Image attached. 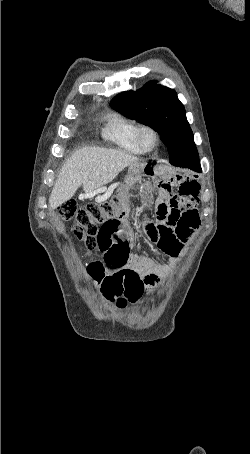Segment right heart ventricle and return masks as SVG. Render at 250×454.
<instances>
[{
  "label": "right heart ventricle",
  "instance_id": "obj_1",
  "mask_svg": "<svg viewBox=\"0 0 250 454\" xmlns=\"http://www.w3.org/2000/svg\"><path fill=\"white\" fill-rule=\"evenodd\" d=\"M139 124L121 114H111L102 130L105 140L111 142L116 147L126 152L141 155L145 151L137 142V130Z\"/></svg>",
  "mask_w": 250,
  "mask_h": 454
}]
</instances>
